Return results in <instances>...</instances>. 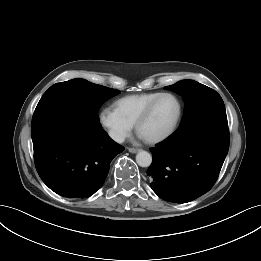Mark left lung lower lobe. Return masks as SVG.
I'll list each match as a JSON object with an SVG mask.
<instances>
[{
    "mask_svg": "<svg viewBox=\"0 0 261 261\" xmlns=\"http://www.w3.org/2000/svg\"><path fill=\"white\" fill-rule=\"evenodd\" d=\"M229 149L227 117L175 132L151 148L147 170L152 190L162 199L187 203L211 189Z\"/></svg>",
    "mask_w": 261,
    "mask_h": 261,
    "instance_id": "0a47b994",
    "label": "left lung lower lobe"
}]
</instances>
